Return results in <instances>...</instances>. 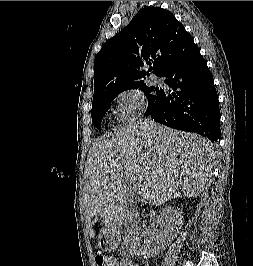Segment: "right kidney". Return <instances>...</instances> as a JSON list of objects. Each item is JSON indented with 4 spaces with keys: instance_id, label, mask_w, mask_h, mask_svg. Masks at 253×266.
I'll return each mask as SVG.
<instances>
[{
    "instance_id": "1",
    "label": "right kidney",
    "mask_w": 253,
    "mask_h": 266,
    "mask_svg": "<svg viewBox=\"0 0 253 266\" xmlns=\"http://www.w3.org/2000/svg\"><path fill=\"white\" fill-rule=\"evenodd\" d=\"M182 227V221L175 222L170 234H162L155 229L154 223L137 226L128 236L130 253L139 258H150L164 250L177 236Z\"/></svg>"
}]
</instances>
